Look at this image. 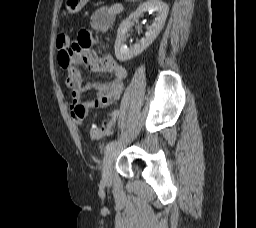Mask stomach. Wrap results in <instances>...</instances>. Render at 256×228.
Returning <instances> with one entry per match:
<instances>
[{"label":"stomach","instance_id":"obj_1","mask_svg":"<svg viewBox=\"0 0 256 228\" xmlns=\"http://www.w3.org/2000/svg\"><path fill=\"white\" fill-rule=\"evenodd\" d=\"M89 0H65V7L69 13H78Z\"/></svg>","mask_w":256,"mask_h":228}]
</instances>
